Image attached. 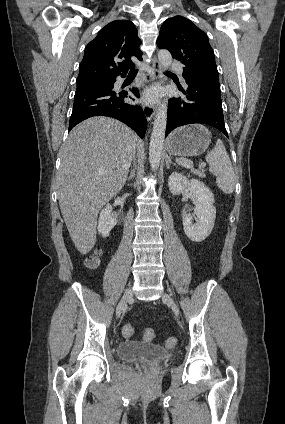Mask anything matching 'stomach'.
<instances>
[{"mask_svg":"<svg viewBox=\"0 0 285 424\" xmlns=\"http://www.w3.org/2000/svg\"><path fill=\"white\" fill-rule=\"evenodd\" d=\"M210 138L211 133L203 125L184 126L176 129L168 136L166 149L173 155L197 156L209 147Z\"/></svg>","mask_w":285,"mask_h":424,"instance_id":"obj_1","label":"stomach"}]
</instances>
